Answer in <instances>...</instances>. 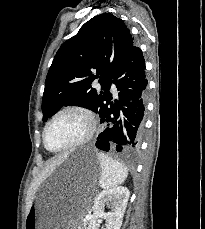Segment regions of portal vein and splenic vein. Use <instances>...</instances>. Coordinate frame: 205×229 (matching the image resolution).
<instances>
[{"label":"portal vein and splenic vein","instance_id":"1","mask_svg":"<svg viewBox=\"0 0 205 229\" xmlns=\"http://www.w3.org/2000/svg\"><path fill=\"white\" fill-rule=\"evenodd\" d=\"M90 217L89 216H86V219H89Z\"/></svg>","mask_w":205,"mask_h":229}]
</instances>
